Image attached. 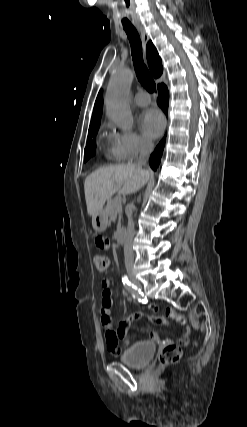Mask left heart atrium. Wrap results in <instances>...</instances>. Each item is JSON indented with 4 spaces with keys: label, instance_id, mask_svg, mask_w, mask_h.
I'll list each match as a JSON object with an SVG mask.
<instances>
[{
    "label": "left heart atrium",
    "instance_id": "1",
    "mask_svg": "<svg viewBox=\"0 0 247 427\" xmlns=\"http://www.w3.org/2000/svg\"><path fill=\"white\" fill-rule=\"evenodd\" d=\"M140 125L143 133L147 137L157 138L164 129L165 121L158 110L148 109L142 114Z\"/></svg>",
    "mask_w": 247,
    "mask_h": 427
}]
</instances>
